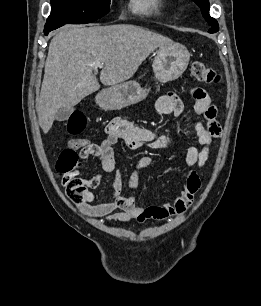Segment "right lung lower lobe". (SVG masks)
Masks as SVG:
<instances>
[{"instance_id":"right-lung-lower-lobe-1","label":"right lung lower lobe","mask_w":261,"mask_h":306,"mask_svg":"<svg viewBox=\"0 0 261 306\" xmlns=\"http://www.w3.org/2000/svg\"><path fill=\"white\" fill-rule=\"evenodd\" d=\"M64 24H51V23H46L45 27H44V33L45 35H48V33L54 29H57L61 26H63Z\"/></svg>"}]
</instances>
